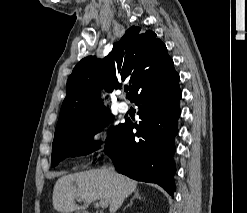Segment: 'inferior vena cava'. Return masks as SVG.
Segmentation results:
<instances>
[{
	"label": "inferior vena cava",
	"mask_w": 247,
	"mask_h": 213,
	"mask_svg": "<svg viewBox=\"0 0 247 213\" xmlns=\"http://www.w3.org/2000/svg\"><path fill=\"white\" fill-rule=\"evenodd\" d=\"M109 170H110L112 173L115 172L114 167H112V166L109 167Z\"/></svg>",
	"instance_id": "inferior-vena-cava-1"
}]
</instances>
